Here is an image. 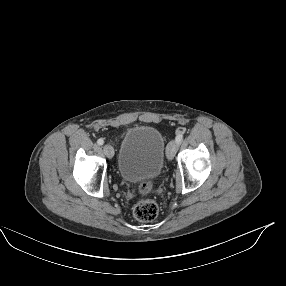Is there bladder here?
<instances>
[{
  "mask_svg": "<svg viewBox=\"0 0 286 286\" xmlns=\"http://www.w3.org/2000/svg\"><path fill=\"white\" fill-rule=\"evenodd\" d=\"M166 142L157 128L137 125L123 135L117 157L121 178L127 182H145L158 178L163 170Z\"/></svg>",
  "mask_w": 286,
  "mask_h": 286,
  "instance_id": "31cf9c89",
  "label": "bladder"
}]
</instances>
